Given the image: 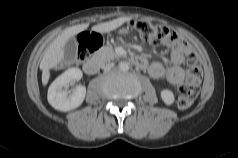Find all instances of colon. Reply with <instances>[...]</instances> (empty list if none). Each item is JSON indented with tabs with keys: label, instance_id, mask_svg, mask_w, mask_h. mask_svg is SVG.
I'll return each instance as SVG.
<instances>
[{
	"label": "colon",
	"instance_id": "obj_1",
	"mask_svg": "<svg viewBox=\"0 0 238 158\" xmlns=\"http://www.w3.org/2000/svg\"><path fill=\"white\" fill-rule=\"evenodd\" d=\"M128 25L135 29L144 41L154 46L174 36V33L167 27L145 20H130ZM78 42V59H85L102 45L103 39L98 34L82 33L78 38ZM185 63L188 68V80L179 87L178 96V106L182 109L192 105L199 94L202 80V68L195 52L190 50L186 54Z\"/></svg>",
	"mask_w": 238,
	"mask_h": 158
}]
</instances>
